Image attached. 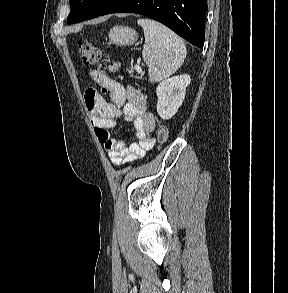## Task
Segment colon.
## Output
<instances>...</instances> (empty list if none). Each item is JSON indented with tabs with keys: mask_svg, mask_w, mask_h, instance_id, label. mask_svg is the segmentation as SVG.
Returning <instances> with one entry per match:
<instances>
[{
	"mask_svg": "<svg viewBox=\"0 0 288 293\" xmlns=\"http://www.w3.org/2000/svg\"><path fill=\"white\" fill-rule=\"evenodd\" d=\"M78 51L81 61L84 64L97 65L99 71H103V65L101 64V51L96 45L87 40H80L78 42ZM104 90L107 91L106 89ZM157 138L159 146H162L167 142L169 138V130L166 125H159L157 130Z\"/></svg>",
	"mask_w": 288,
	"mask_h": 293,
	"instance_id": "5ec220e1",
	"label": "colon"
}]
</instances>
